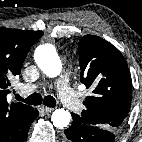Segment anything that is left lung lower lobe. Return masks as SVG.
<instances>
[{
    "label": "left lung lower lobe",
    "instance_id": "left-lung-lower-lobe-1",
    "mask_svg": "<svg viewBox=\"0 0 142 142\" xmlns=\"http://www.w3.org/2000/svg\"><path fill=\"white\" fill-rule=\"evenodd\" d=\"M72 125L65 130L67 142H114L116 132L98 126L82 124L72 113Z\"/></svg>",
    "mask_w": 142,
    "mask_h": 142
}]
</instances>
